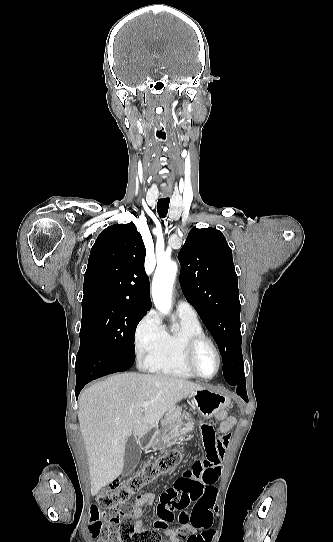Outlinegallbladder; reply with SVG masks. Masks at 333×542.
Wrapping results in <instances>:
<instances>
[{
    "label": "gallbladder",
    "instance_id": "bac80fb5",
    "mask_svg": "<svg viewBox=\"0 0 333 542\" xmlns=\"http://www.w3.org/2000/svg\"><path fill=\"white\" fill-rule=\"evenodd\" d=\"M140 458H141V446L140 444H138V442H136L134 436H130L125 446L124 466L122 470V476H129V474H132Z\"/></svg>",
    "mask_w": 333,
    "mask_h": 542
}]
</instances>
